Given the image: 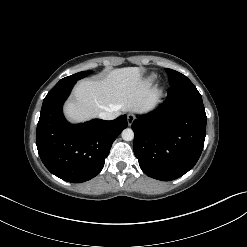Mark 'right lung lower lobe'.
Returning <instances> with one entry per match:
<instances>
[{
	"label": "right lung lower lobe",
	"instance_id": "obj_1",
	"mask_svg": "<svg viewBox=\"0 0 247 247\" xmlns=\"http://www.w3.org/2000/svg\"><path fill=\"white\" fill-rule=\"evenodd\" d=\"M75 83L58 82L48 92L37 125L36 145L51 173L65 181L81 183L100 173L112 143L128 123L126 115L112 121L68 123L62 105Z\"/></svg>",
	"mask_w": 247,
	"mask_h": 247
}]
</instances>
